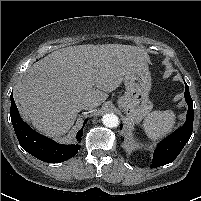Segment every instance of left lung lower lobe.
I'll list each match as a JSON object with an SVG mask.
<instances>
[{
    "instance_id": "obj_1",
    "label": "left lung lower lobe",
    "mask_w": 201,
    "mask_h": 201,
    "mask_svg": "<svg viewBox=\"0 0 201 201\" xmlns=\"http://www.w3.org/2000/svg\"><path fill=\"white\" fill-rule=\"evenodd\" d=\"M184 96L188 104L186 122L181 128L177 129L173 134L159 143L154 152L153 161L150 165L151 168H157L174 161L192 134L194 120L193 101L186 83Z\"/></svg>"
}]
</instances>
